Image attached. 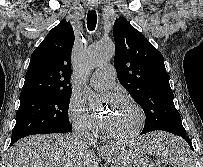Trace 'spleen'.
I'll return each instance as SVG.
<instances>
[{"label":"spleen","mask_w":203,"mask_h":167,"mask_svg":"<svg viewBox=\"0 0 203 167\" xmlns=\"http://www.w3.org/2000/svg\"><path fill=\"white\" fill-rule=\"evenodd\" d=\"M144 148L146 152L162 156L179 167H194L193 159L180 138L164 133L152 134Z\"/></svg>","instance_id":"spleen-1"}]
</instances>
